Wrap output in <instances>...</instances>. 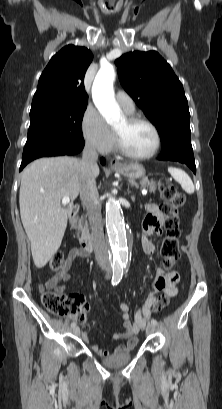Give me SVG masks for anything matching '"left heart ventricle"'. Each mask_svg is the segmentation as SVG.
Listing matches in <instances>:
<instances>
[{
	"mask_svg": "<svg viewBox=\"0 0 222 409\" xmlns=\"http://www.w3.org/2000/svg\"><path fill=\"white\" fill-rule=\"evenodd\" d=\"M114 130L120 135L125 147L134 154H146L155 145L153 130L146 124L129 125L124 119Z\"/></svg>",
	"mask_w": 222,
	"mask_h": 409,
	"instance_id": "1",
	"label": "left heart ventricle"
}]
</instances>
